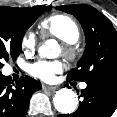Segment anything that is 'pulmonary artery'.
I'll list each match as a JSON object with an SVG mask.
<instances>
[{
	"mask_svg": "<svg viewBox=\"0 0 117 117\" xmlns=\"http://www.w3.org/2000/svg\"><path fill=\"white\" fill-rule=\"evenodd\" d=\"M82 89H85L87 87V84L86 83H82L81 86H80Z\"/></svg>",
	"mask_w": 117,
	"mask_h": 117,
	"instance_id": "1",
	"label": "pulmonary artery"
}]
</instances>
